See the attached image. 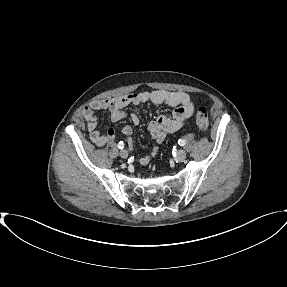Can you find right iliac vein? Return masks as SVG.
<instances>
[{
	"mask_svg": "<svg viewBox=\"0 0 287 287\" xmlns=\"http://www.w3.org/2000/svg\"><path fill=\"white\" fill-rule=\"evenodd\" d=\"M119 155L121 158L126 159L128 157V152L127 150H121Z\"/></svg>",
	"mask_w": 287,
	"mask_h": 287,
	"instance_id": "right-iliac-vein-1",
	"label": "right iliac vein"
}]
</instances>
